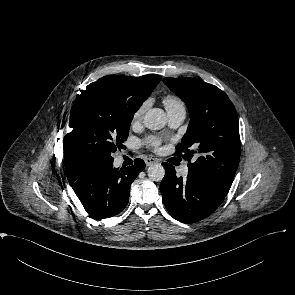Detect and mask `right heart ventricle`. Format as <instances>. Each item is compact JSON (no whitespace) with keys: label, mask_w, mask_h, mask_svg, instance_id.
Returning a JSON list of instances; mask_svg holds the SVG:
<instances>
[{"label":"right heart ventricle","mask_w":295,"mask_h":295,"mask_svg":"<svg viewBox=\"0 0 295 295\" xmlns=\"http://www.w3.org/2000/svg\"><path fill=\"white\" fill-rule=\"evenodd\" d=\"M163 103L168 114H172L179 111L186 112L184 102L176 95L168 94L164 96Z\"/></svg>","instance_id":"1"}]
</instances>
